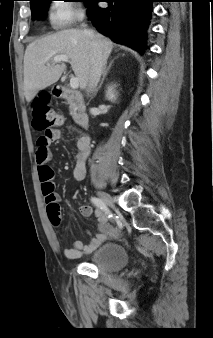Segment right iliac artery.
<instances>
[{
    "label": "right iliac artery",
    "instance_id": "82829eb1",
    "mask_svg": "<svg viewBox=\"0 0 213 338\" xmlns=\"http://www.w3.org/2000/svg\"><path fill=\"white\" fill-rule=\"evenodd\" d=\"M91 201L95 206H97L100 209H102L103 211H105L108 218L111 217L109 209L107 208L106 204L100 198L92 197Z\"/></svg>",
    "mask_w": 213,
    "mask_h": 338
}]
</instances>
